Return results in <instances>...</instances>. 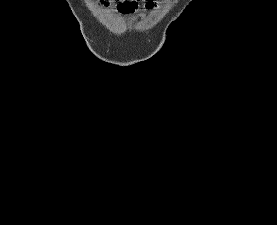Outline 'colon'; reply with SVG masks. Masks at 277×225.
<instances>
[{"mask_svg": "<svg viewBox=\"0 0 277 225\" xmlns=\"http://www.w3.org/2000/svg\"><path fill=\"white\" fill-rule=\"evenodd\" d=\"M143 0H96L101 6L117 5V9L122 13L134 12L138 9Z\"/></svg>", "mask_w": 277, "mask_h": 225, "instance_id": "colon-1", "label": "colon"}]
</instances>
